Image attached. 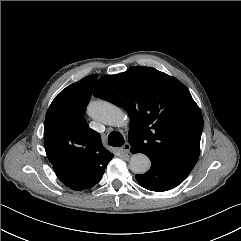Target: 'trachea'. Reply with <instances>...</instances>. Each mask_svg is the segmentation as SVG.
Returning a JSON list of instances; mask_svg holds the SVG:
<instances>
[{"mask_svg": "<svg viewBox=\"0 0 241 241\" xmlns=\"http://www.w3.org/2000/svg\"><path fill=\"white\" fill-rule=\"evenodd\" d=\"M125 143L124 137L121 133L113 131L108 135V144L114 147H120Z\"/></svg>", "mask_w": 241, "mask_h": 241, "instance_id": "1", "label": "trachea"}]
</instances>
